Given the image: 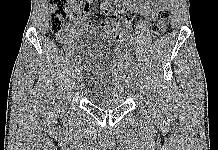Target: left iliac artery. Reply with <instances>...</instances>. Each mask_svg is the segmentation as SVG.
<instances>
[{
    "label": "left iliac artery",
    "mask_w": 218,
    "mask_h": 150,
    "mask_svg": "<svg viewBox=\"0 0 218 150\" xmlns=\"http://www.w3.org/2000/svg\"><path fill=\"white\" fill-rule=\"evenodd\" d=\"M139 73L137 71H131V76H137Z\"/></svg>",
    "instance_id": "1"
}]
</instances>
